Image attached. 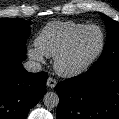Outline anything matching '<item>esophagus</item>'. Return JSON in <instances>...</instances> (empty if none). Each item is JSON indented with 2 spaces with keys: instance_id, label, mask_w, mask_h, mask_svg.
Instances as JSON below:
<instances>
[{
  "instance_id": "obj_1",
  "label": "esophagus",
  "mask_w": 119,
  "mask_h": 119,
  "mask_svg": "<svg viewBox=\"0 0 119 119\" xmlns=\"http://www.w3.org/2000/svg\"><path fill=\"white\" fill-rule=\"evenodd\" d=\"M56 84H57V81H56L54 78L49 77V78L47 79L46 85H47V87H49L50 89H54L55 86H56Z\"/></svg>"
}]
</instances>
